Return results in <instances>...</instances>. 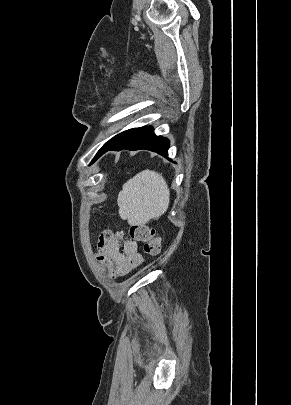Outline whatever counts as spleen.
I'll use <instances>...</instances> for the list:
<instances>
[{
    "label": "spleen",
    "mask_w": 291,
    "mask_h": 405,
    "mask_svg": "<svg viewBox=\"0 0 291 405\" xmlns=\"http://www.w3.org/2000/svg\"><path fill=\"white\" fill-rule=\"evenodd\" d=\"M169 201L170 191L165 179L148 169L123 184L117 199L120 216L142 224L162 216Z\"/></svg>",
    "instance_id": "spleen-1"
}]
</instances>
